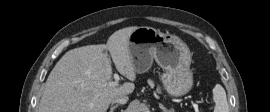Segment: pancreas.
I'll return each instance as SVG.
<instances>
[{"label":"pancreas","instance_id":"pancreas-1","mask_svg":"<svg viewBox=\"0 0 270 112\" xmlns=\"http://www.w3.org/2000/svg\"><path fill=\"white\" fill-rule=\"evenodd\" d=\"M149 84H150V86H154L153 81H149ZM157 90L160 91V87L159 86H158Z\"/></svg>","mask_w":270,"mask_h":112}]
</instances>
